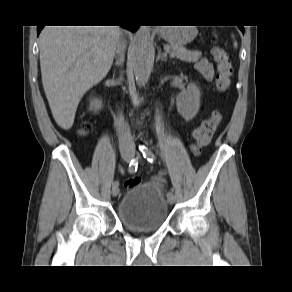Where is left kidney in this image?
<instances>
[{
	"mask_svg": "<svg viewBox=\"0 0 292 292\" xmlns=\"http://www.w3.org/2000/svg\"><path fill=\"white\" fill-rule=\"evenodd\" d=\"M201 92L195 83H190L187 89L176 96L178 113L186 120H192L200 108Z\"/></svg>",
	"mask_w": 292,
	"mask_h": 292,
	"instance_id": "1",
	"label": "left kidney"
}]
</instances>
